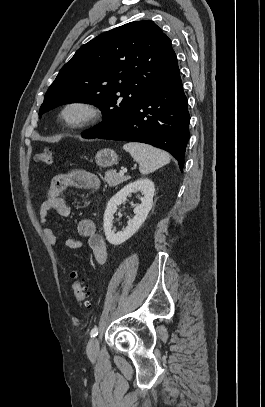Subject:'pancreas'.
Masks as SVG:
<instances>
[{
    "label": "pancreas",
    "instance_id": "pancreas-1",
    "mask_svg": "<svg viewBox=\"0 0 265 407\" xmlns=\"http://www.w3.org/2000/svg\"><path fill=\"white\" fill-rule=\"evenodd\" d=\"M128 179H129L128 177L121 176L120 174L116 173V171H114V170L107 171L105 173V177H104V180L107 182V184L112 187L117 186V185L125 182Z\"/></svg>",
    "mask_w": 265,
    "mask_h": 407
}]
</instances>
